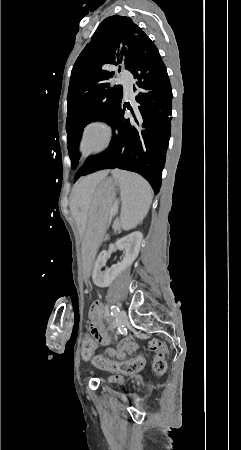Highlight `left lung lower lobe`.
<instances>
[{"label": "left lung lower lobe", "mask_w": 241, "mask_h": 450, "mask_svg": "<svg viewBox=\"0 0 241 450\" xmlns=\"http://www.w3.org/2000/svg\"><path fill=\"white\" fill-rule=\"evenodd\" d=\"M128 70L141 89L135 97L139 103L137 116L131 110L134 118L124 119L126 105L120 104L109 122L114 132L109 147L89 159L75 181L81 175L119 168L139 173L158 193L170 138L172 89L155 45L133 60Z\"/></svg>", "instance_id": "0a47b994"}]
</instances>
